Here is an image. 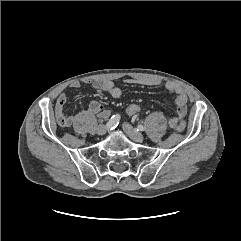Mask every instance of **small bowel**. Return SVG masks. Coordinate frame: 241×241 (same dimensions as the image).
<instances>
[{
	"label": "small bowel",
	"mask_w": 241,
	"mask_h": 241,
	"mask_svg": "<svg viewBox=\"0 0 241 241\" xmlns=\"http://www.w3.org/2000/svg\"><path fill=\"white\" fill-rule=\"evenodd\" d=\"M128 84H140V85H149L156 86L160 82L154 79H134L129 78L125 80ZM85 83H91L92 87L100 92L108 93L112 98H119L122 95V90L120 87L116 86L114 82L110 80L100 79V80H85ZM81 83L79 81H73L70 84L71 88H79ZM165 88L167 91L175 96L176 109L174 114L169 120V124L172 128H175L176 125L182 121L184 116L187 113L188 109V98L187 94L183 88H181L177 83L173 81H167L165 83ZM67 102V95L61 93L56 102L55 107V116L58 124L61 127H70L74 122V117L65 112L64 106ZM89 111L96 113L101 118H106L109 115V110L99 101L91 100L88 106Z\"/></svg>",
	"instance_id": "small-bowel-1"
}]
</instances>
